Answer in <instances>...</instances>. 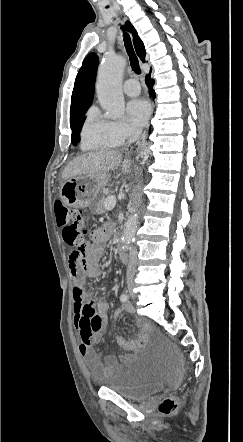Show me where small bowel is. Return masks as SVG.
Segmentation results:
<instances>
[{"label":"small bowel","instance_id":"1","mask_svg":"<svg viewBox=\"0 0 243 442\" xmlns=\"http://www.w3.org/2000/svg\"><path fill=\"white\" fill-rule=\"evenodd\" d=\"M113 226L105 223L90 234L91 242L85 247V256L79 263L73 262L70 257L68 267L74 278V323L78 331V353L84 361L91 377L95 381L106 378L118 365L119 361L128 357V354L119 357L107 355L101 357L95 350V345L103 340L107 324L110 304L105 299H93L86 289L85 277L97 278L100 273V262L104 256V244L109 239ZM123 311H132V306L125 304ZM140 332L135 340H127L122 336L116 337V343L125 351H134L142 348L148 339L150 326L139 322Z\"/></svg>","mask_w":243,"mask_h":442}]
</instances>
